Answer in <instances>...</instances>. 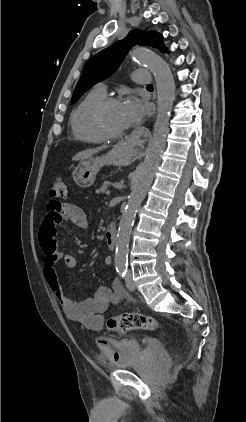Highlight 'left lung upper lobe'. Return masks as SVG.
<instances>
[{
  "mask_svg": "<svg viewBox=\"0 0 246 422\" xmlns=\"http://www.w3.org/2000/svg\"><path fill=\"white\" fill-rule=\"evenodd\" d=\"M163 37L157 32L132 30L128 36L93 56L85 65L81 78L73 93L71 104L75 103L93 85L109 77L121 64L130 48L134 45H150L162 53L166 47Z\"/></svg>",
  "mask_w": 246,
  "mask_h": 422,
  "instance_id": "5c2ea615",
  "label": "left lung upper lobe"
}]
</instances>
